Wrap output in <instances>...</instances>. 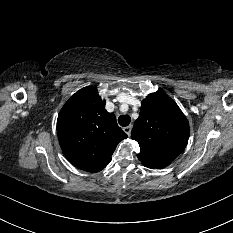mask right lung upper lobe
Listing matches in <instances>:
<instances>
[{
  "label": "right lung upper lobe",
  "instance_id": "right-lung-upper-lobe-1",
  "mask_svg": "<svg viewBox=\"0 0 233 233\" xmlns=\"http://www.w3.org/2000/svg\"><path fill=\"white\" fill-rule=\"evenodd\" d=\"M105 100L92 86L77 91L61 109L57 134L65 157L77 168L99 172L111 161L117 144L127 138Z\"/></svg>",
  "mask_w": 233,
  "mask_h": 233
}]
</instances>
